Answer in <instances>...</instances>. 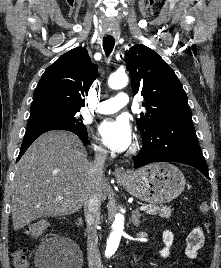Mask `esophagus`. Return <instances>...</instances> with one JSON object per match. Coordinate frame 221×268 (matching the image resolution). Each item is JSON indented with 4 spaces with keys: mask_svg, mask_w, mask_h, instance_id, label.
I'll return each mask as SVG.
<instances>
[{
    "mask_svg": "<svg viewBox=\"0 0 221 268\" xmlns=\"http://www.w3.org/2000/svg\"><path fill=\"white\" fill-rule=\"evenodd\" d=\"M113 173L117 179H124L128 176L127 172L122 167H116Z\"/></svg>",
    "mask_w": 221,
    "mask_h": 268,
    "instance_id": "obj_1",
    "label": "esophagus"
}]
</instances>
